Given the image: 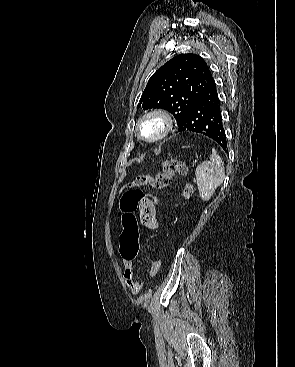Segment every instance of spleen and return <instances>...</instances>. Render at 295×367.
Masks as SVG:
<instances>
[{
	"mask_svg": "<svg viewBox=\"0 0 295 367\" xmlns=\"http://www.w3.org/2000/svg\"><path fill=\"white\" fill-rule=\"evenodd\" d=\"M195 175L201 199L209 201L225 177L224 163L214 148L209 161L202 162L196 168Z\"/></svg>",
	"mask_w": 295,
	"mask_h": 367,
	"instance_id": "3e777b00",
	"label": "spleen"
}]
</instances>
